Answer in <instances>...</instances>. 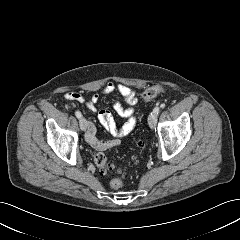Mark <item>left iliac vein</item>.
<instances>
[{"label": "left iliac vein", "mask_w": 240, "mask_h": 240, "mask_svg": "<svg viewBox=\"0 0 240 240\" xmlns=\"http://www.w3.org/2000/svg\"><path fill=\"white\" fill-rule=\"evenodd\" d=\"M156 123H157V115L152 112L148 117V124L151 128H154L156 126Z\"/></svg>", "instance_id": "left-iliac-vein-1"}]
</instances>
